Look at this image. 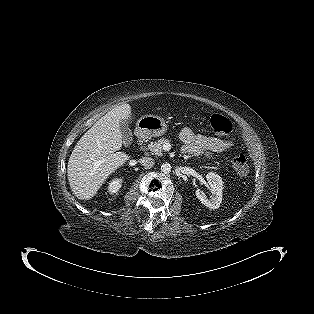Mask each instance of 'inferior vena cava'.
<instances>
[{
  "mask_svg": "<svg viewBox=\"0 0 314 314\" xmlns=\"http://www.w3.org/2000/svg\"><path fill=\"white\" fill-rule=\"evenodd\" d=\"M139 163L146 169L152 168L155 164L154 160L150 157H142Z\"/></svg>",
  "mask_w": 314,
  "mask_h": 314,
  "instance_id": "1",
  "label": "inferior vena cava"
}]
</instances>
